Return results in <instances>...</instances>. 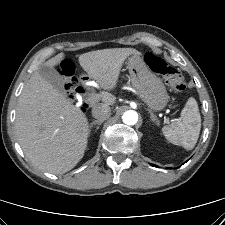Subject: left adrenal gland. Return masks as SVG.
Masks as SVG:
<instances>
[{
	"instance_id": "obj_1",
	"label": "left adrenal gland",
	"mask_w": 225,
	"mask_h": 225,
	"mask_svg": "<svg viewBox=\"0 0 225 225\" xmlns=\"http://www.w3.org/2000/svg\"><path fill=\"white\" fill-rule=\"evenodd\" d=\"M149 113H150V115H151V121L152 122H154L156 125H159V120L156 118V116L153 114V112H151L150 110H149Z\"/></svg>"
}]
</instances>
